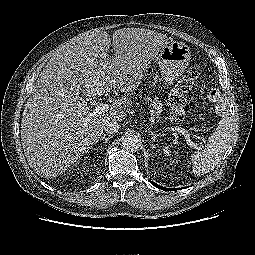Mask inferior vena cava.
Segmentation results:
<instances>
[{
	"label": "inferior vena cava",
	"instance_id": "obj_1",
	"mask_svg": "<svg viewBox=\"0 0 255 255\" xmlns=\"http://www.w3.org/2000/svg\"><path fill=\"white\" fill-rule=\"evenodd\" d=\"M104 131L108 134H115L119 130V124L116 121H107L104 125Z\"/></svg>",
	"mask_w": 255,
	"mask_h": 255
}]
</instances>
